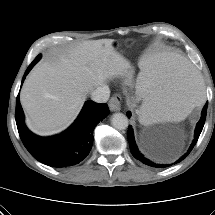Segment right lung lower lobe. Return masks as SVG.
<instances>
[{
	"label": "right lung lower lobe",
	"instance_id": "98d812e1",
	"mask_svg": "<svg viewBox=\"0 0 215 215\" xmlns=\"http://www.w3.org/2000/svg\"><path fill=\"white\" fill-rule=\"evenodd\" d=\"M31 64L24 74L22 83L33 67ZM109 113L107 104L88 100L76 121L66 131L53 137H39L25 126L18 96L15 119L20 138L30 154L45 165L62 168L78 164L86 158L92 148L95 126Z\"/></svg>",
	"mask_w": 215,
	"mask_h": 215
}]
</instances>
